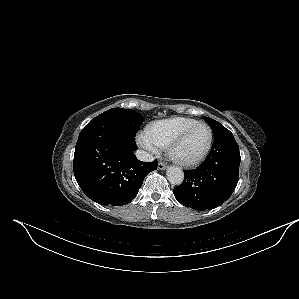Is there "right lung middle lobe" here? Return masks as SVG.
<instances>
[{
	"label": "right lung middle lobe",
	"instance_id": "1",
	"mask_svg": "<svg viewBox=\"0 0 299 299\" xmlns=\"http://www.w3.org/2000/svg\"><path fill=\"white\" fill-rule=\"evenodd\" d=\"M95 118L115 121L116 123L129 130L132 134H136L140 125L144 121V117L136 111L123 108L109 109Z\"/></svg>",
	"mask_w": 299,
	"mask_h": 299
}]
</instances>
